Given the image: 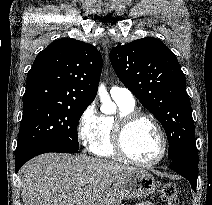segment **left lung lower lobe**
Here are the masks:
<instances>
[{"instance_id": "obj_1", "label": "left lung lower lobe", "mask_w": 212, "mask_h": 205, "mask_svg": "<svg viewBox=\"0 0 212 205\" xmlns=\"http://www.w3.org/2000/svg\"><path fill=\"white\" fill-rule=\"evenodd\" d=\"M169 168L185 177L190 182L192 189L196 191L198 178V157H192L177 163H171Z\"/></svg>"}]
</instances>
